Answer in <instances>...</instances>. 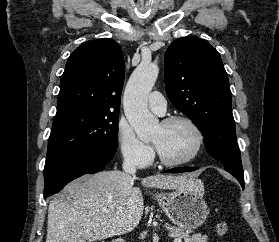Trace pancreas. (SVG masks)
<instances>
[{
	"instance_id": "pancreas-1",
	"label": "pancreas",
	"mask_w": 279,
	"mask_h": 242,
	"mask_svg": "<svg viewBox=\"0 0 279 242\" xmlns=\"http://www.w3.org/2000/svg\"><path fill=\"white\" fill-rule=\"evenodd\" d=\"M166 228L169 234L173 238L182 239L185 242H207L206 235L193 234L190 235V231L166 224Z\"/></svg>"
}]
</instances>
